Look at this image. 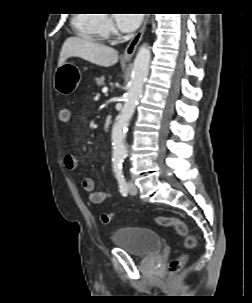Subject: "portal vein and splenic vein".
<instances>
[{
    "instance_id": "portal-vein-and-splenic-vein-1",
    "label": "portal vein and splenic vein",
    "mask_w": 252,
    "mask_h": 303,
    "mask_svg": "<svg viewBox=\"0 0 252 303\" xmlns=\"http://www.w3.org/2000/svg\"><path fill=\"white\" fill-rule=\"evenodd\" d=\"M108 91V88L107 87H104L103 89H102V92L103 93H106Z\"/></svg>"
}]
</instances>
